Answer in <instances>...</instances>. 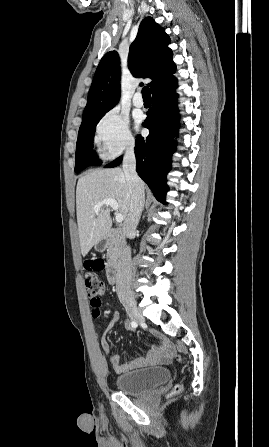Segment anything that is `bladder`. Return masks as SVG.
I'll use <instances>...</instances> for the list:
<instances>
[{"mask_svg":"<svg viewBox=\"0 0 269 447\" xmlns=\"http://www.w3.org/2000/svg\"><path fill=\"white\" fill-rule=\"evenodd\" d=\"M168 378L170 373L167 366H156L115 375L114 385L117 392L140 395L164 384Z\"/></svg>","mask_w":269,"mask_h":447,"instance_id":"31cf9c89","label":"bladder"}]
</instances>
